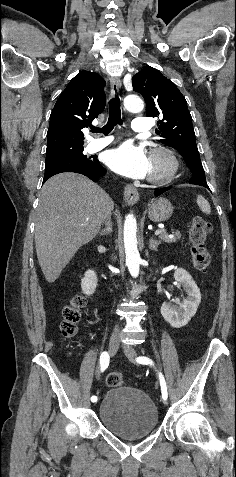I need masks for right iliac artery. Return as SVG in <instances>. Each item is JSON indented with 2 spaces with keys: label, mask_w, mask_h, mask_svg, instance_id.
Wrapping results in <instances>:
<instances>
[{
  "label": "right iliac artery",
  "mask_w": 236,
  "mask_h": 477,
  "mask_svg": "<svg viewBox=\"0 0 236 477\" xmlns=\"http://www.w3.org/2000/svg\"><path fill=\"white\" fill-rule=\"evenodd\" d=\"M109 361H110L109 354H108V352L104 351L100 356L101 372H103L106 368H108ZM91 403L93 405H96L98 403L97 396H92L91 397Z\"/></svg>",
  "instance_id": "obj_1"
}]
</instances>
